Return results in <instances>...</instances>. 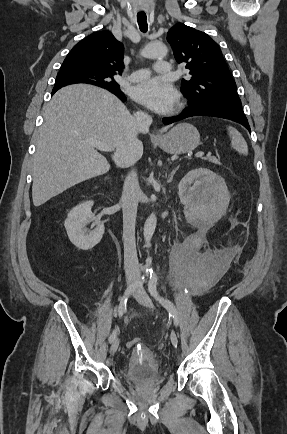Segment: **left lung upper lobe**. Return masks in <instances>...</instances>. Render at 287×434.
<instances>
[{
  "mask_svg": "<svg viewBox=\"0 0 287 434\" xmlns=\"http://www.w3.org/2000/svg\"><path fill=\"white\" fill-rule=\"evenodd\" d=\"M167 41L177 62L190 70L181 82L189 105L241 103L221 50L206 33L178 23L168 31Z\"/></svg>",
  "mask_w": 287,
  "mask_h": 434,
  "instance_id": "obj_1",
  "label": "left lung upper lobe"
}]
</instances>
